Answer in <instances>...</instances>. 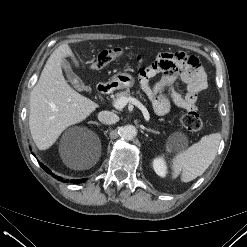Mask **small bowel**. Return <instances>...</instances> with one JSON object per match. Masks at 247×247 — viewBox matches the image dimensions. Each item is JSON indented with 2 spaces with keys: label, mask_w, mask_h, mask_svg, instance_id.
Returning <instances> with one entry per match:
<instances>
[{
  "label": "small bowel",
  "mask_w": 247,
  "mask_h": 247,
  "mask_svg": "<svg viewBox=\"0 0 247 247\" xmlns=\"http://www.w3.org/2000/svg\"><path fill=\"white\" fill-rule=\"evenodd\" d=\"M158 73H161L160 79L151 84L150 80ZM139 79L155 113L160 116L170 111L171 103L187 111L196 110L198 95L207 87L206 74L198 58L184 52L158 54L148 67L140 69ZM177 80L187 86V93L181 94L173 87Z\"/></svg>",
  "instance_id": "1"
}]
</instances>
